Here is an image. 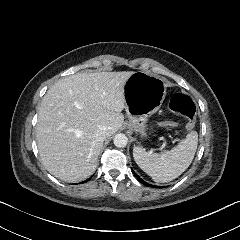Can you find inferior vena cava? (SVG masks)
Wrapping results in <instances>:
<instances>
[{"label":"inferior vena cava","instance_id":"1","mask_svg":"<svg viewBox=\"0 0 240 240\" xmlns=\"http://www.w3.org/2000/svg\"><path fill=\"white\" fill-rule=\"evenodd\" d=\"M96 136L100 141H104L108 137V130L106 128H100L96 131Z\"/></svg>","mask_w":240,"mask_h":240}]
</instances>
